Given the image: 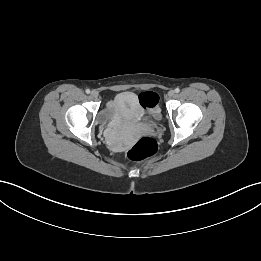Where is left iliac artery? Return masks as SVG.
Instances as JSON below:
<instances>
[{
  "label": "left iliac artery",
  "mask_w": 261,
  "mask_h": 261,
  "mask_svg": "<svg viewBox=\"0 0 261 261\" xmlns=\"http://www.w3.org/2000/svg\"><path fill=\"white\" fill-rule=\"evenodd\" d=\"M175 92H176V93H179V92H180V89H179V88H176V89H175Z\"/></svg>",
  "instance_id": "left-iliac-artery-1"
}]
</instances>
